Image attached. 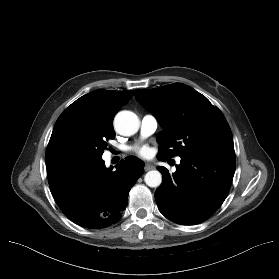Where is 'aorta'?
<instances>
[{
  "instance_id": "762f6f07",
  "label": "aorta",
  "mask_w": 279,
  "mask_h": 279,
  "mask_svg": "<svg viewBox=\"0 0 279 279\" xmlns=\"http://www.w3.org/2000/svg\"><path fill=\"white\" fill-rule=\"evenodd\" d=\"M140 121L138 116L131 111H121L114 118L115 130L123 136H132L139 129ZM145 183L152 188L160 186L162 175L158 170H152L146 173Z\"/></svg>"
}]
</instances>
